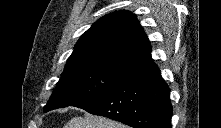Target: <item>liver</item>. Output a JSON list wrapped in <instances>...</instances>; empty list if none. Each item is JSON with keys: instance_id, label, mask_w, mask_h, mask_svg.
Listing matches in <instances>:
<instances>
[{"instance_id": "obj_1", "label": "liver", "mask_w": 221, "mask_h": 128, "mask_svg": "<svg viewBox=\"0 0 221 128\" xmlns=\"http://www.w3.org/2000/svg\"><path fill=\"white\" fill-rule=\"evenodd\" d=\"M64 128H127V126L104 117L88 115L72 118Z\"/></svg>"}]
</instances>
